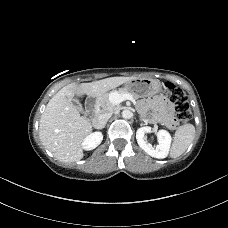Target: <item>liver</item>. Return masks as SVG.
<instances>
[{
	"label": "liver",
	"instance_id": "obj_1",
	"mask_svg": "<svg viewBox=\"0 0 228 228\" xmlns=\"http://www.w3.org/2000/svg\"><path fill=\"white\" fill-rule=\"evenodd\" d=\"M136 77H110L90 83H71L60 89L48 102L39 124L42 144L56 159L72 163L83 158V140L92 132L88 119L71 102L75 95L100 97Z\"/></svg>",
	"mask_w": 228,
	"mask_h": 228
}]
</instances>
